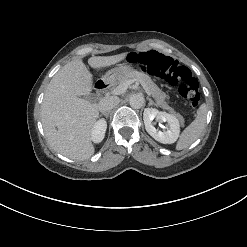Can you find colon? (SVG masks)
<instances>
[{"mask_svg":"<svg viewBox=\"0 0 247 247\" xmlns=\"http://www.w3.org/2000/svg\"><path fill=\"white\" fill-rule=\"evenodd\" d=\"M128 62L146 69L150 74L163 78L170 85L178 86L180 95L196 107L200 102L199 82L190 69L173 58L157 51L131 53Z\"/></svg>","mask_w":247,"mask_h":247,"instance_id":"1","label":"colon"}]
</instances>
